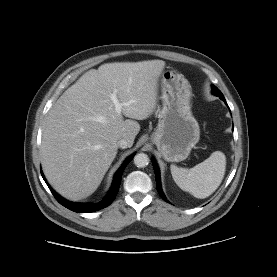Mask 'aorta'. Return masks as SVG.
<instances>
[{
  "label": "aorta",
  "mask_w": 277,
  "mask_h": 277,
  "mask_svg": "<svg viewBox=\"0 0 277 277\" xmlns=\"http://www.w3.org/2000/svg\"><path fill=\"white\" fill-rule=\"evenodd\" d=\"M134 164L137 167L143 168L149 164V157L147 154L139 153L134 157Z\"/></svg>",
  "instance_id": "1"
}]
</instances>
